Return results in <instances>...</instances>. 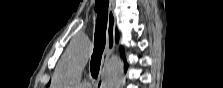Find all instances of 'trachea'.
Masks as SVG:
<instances>
[{
    "instance_id": "obj_1",
    "label": "trachea",
    "mask_w": 223,
    "mask_h": 88,
    "mask_svg": "<svg viewBox=\"0 0 223 88\" xmlns=\"http://www.w3.org/2000/svg\"><path fill=\"white\" fill-rule=\"evenodd\" d=\"M108 4V0H95V11L97 13V20L94 34V51L90 61L91 75L95 79L98 77L99 74L101 58L106 43Z\"/></svg>"
}]
</instances>
